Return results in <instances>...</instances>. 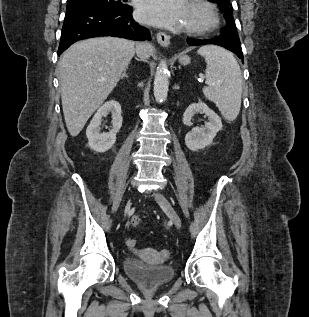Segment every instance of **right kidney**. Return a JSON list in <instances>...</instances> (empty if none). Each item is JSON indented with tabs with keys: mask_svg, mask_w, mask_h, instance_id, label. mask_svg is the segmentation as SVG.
<instances>
[{
	"mask_svg": "<svg viewBox=\"0 0 309 317\" xmlns=\"http://www.w3.org/2000/svg\"><path fill=\"white\" fill-rule=\"evenodd\" d=\"M112 114V130L108 133H101V119L107 114ZM121 106L115 100L104 103L92 118L86 130L88 145L96 152H106L116 142V133L122 126Z\"/></svg>",
	"mask_w": 309,
	"mask_h": 317,
	"instance_id": "right-kidney-1",
	"label": "right kidney"
}]
</instances>
